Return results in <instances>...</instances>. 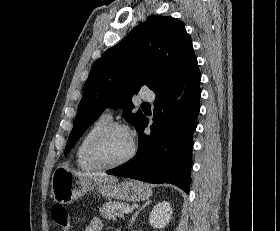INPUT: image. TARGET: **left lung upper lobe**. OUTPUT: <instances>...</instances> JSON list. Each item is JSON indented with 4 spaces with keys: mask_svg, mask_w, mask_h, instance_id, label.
<instances>
[{
    "mask_svg": "<svg viewBox=\"0 0 280 231\" xmlns=\"http://www.w3.org/2000/svg\"><path fill=\"white\" fill-rule=\"evenodd\" d=\"M197 67L183 23L170 16L148 17L94 63L65 154L106 107L123 108V117L136 127L143 113H132L133 94L143 85L154 92L163 90Z\"/></svg>",
    "mask_w": 280,
    "mask_h": 231,
    "instance_id": "left-lung-upper-lobe-1",
    "label": "left lung upper lobe"
}]
</instances>
